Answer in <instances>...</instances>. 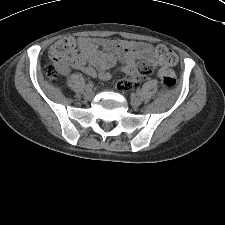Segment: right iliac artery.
<instances>
[{
    "label": "right iliac artery",
    "instance_id": "82829eb1",
    "mask_svg": "<svg viewBox=\"0 0 225 225\" xmlns=\"http://www.w3.org/2000/svg\"><path fill=\"white\" fill-rule=\"evenodd\" d=\"M93 88V83L89 82L88 84H86L85 89H92Z\"/></svg>",
    "mask_w": 225,
    "mask_h": 225
}]
</instances>
